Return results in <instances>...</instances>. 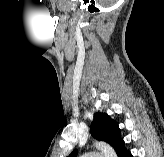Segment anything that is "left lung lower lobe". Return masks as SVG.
Here are the masks:
<instances>
[{"instance_id": "left-lung-lower-lobe-1", "label": "left lung lower lobe", "mask_w": 164, "mask_h": 157, "mask_svg": "<svg viewBox=\"0 0 164 157\" xmlns=\"http://www.w3.org/2000/svg\"><path fill=\"white\" fill-rule=\"evenodd\" d=\"M117 157H133L132 154L125 148V143L123 140L118 142L114 147Z\"/></svg>"}]
</instances>
